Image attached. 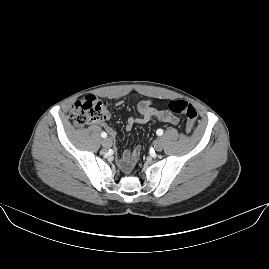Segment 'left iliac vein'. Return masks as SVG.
Instances as JSON below:
<instances>
[{"mask_svg":"<svg viewBox=\"0 0 269 269\" xmlns=\"http://www.w3.org/2000/svg\"><path fill=\"white\" fill-rule=\"evenodd\" d=\"M154 148H155L156 151H162L163 142L160 139L156 140L155 143H154Z\"/></svg>","mask_w":269,"mask_h":269,"instance_id":"left-iliac-vein-1","label":"left iliac vein"}]
</instances>
